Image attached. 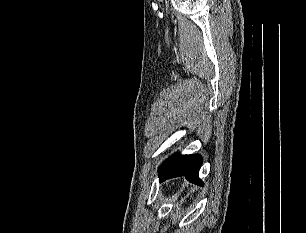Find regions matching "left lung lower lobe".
Here are the masks:
<instances>
[{
	"label": "left lung lower lobe",
	"instance_id": "left-lung-lower-lobe-1",
	"mask_svg": "<svg viewBox=\"0 0 306 233\" xmlns=\"http://www.w3.org/2000/svg\"><path fill=\"white\" fill-rule=\"evenodd\" d=\"M202 164L201 155L175 154L159 168L160 181L169 178L185 176L188 181L203 185L199 179V169Z\"/></svg>",
	"mask_w": 306,
	"mask_h": 233
}]
</instances>
